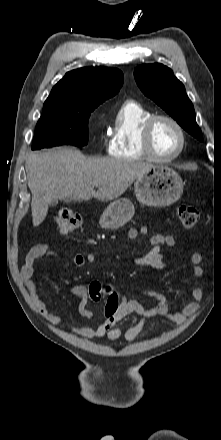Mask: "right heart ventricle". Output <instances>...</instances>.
I'll list each match as a JSON object with an SVG mask.
<instances>
[{"instance_id":"right-heart-ventricle-1","label":"right heart ventricle","mask_w":221,"mask_h":440,"mask_svg":"<svg viewBox=\"0 0 221 440\" xmlns=\"http://www.w3.org/2000/svg\"><path fill=\"white\" fill-rule=\"evenodd\" d=\"M152 112L138 101L125 100L116 115L108 141V153L118 159H150L142 144V126Z\"/></svg>"}]
</instances>
